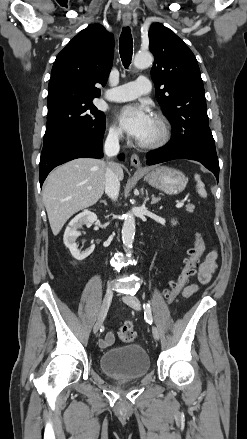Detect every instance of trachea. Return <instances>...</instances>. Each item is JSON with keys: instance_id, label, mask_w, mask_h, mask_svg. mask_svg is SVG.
<instances>
[{"instance_id": "3493384b", "label": "trachea", "mask_w": 247, "mask_h": 439, "mask_svg": "<svg viewBox=\"0 0 247 439\" xmlns=\"http://www.w3.org/2000/svg\"><path fill=\"white\" fill-rule=\"evenodd\" d=\"M133 40L129 27H124L119 40V51L123 65L127 68L132 60Z\"/></svg>"}]
</instances>
